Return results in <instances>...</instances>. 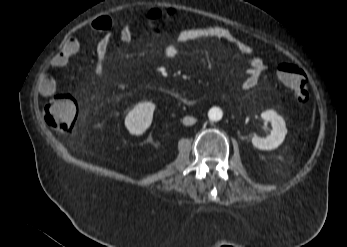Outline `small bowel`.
Segmentation results:
<instances>
[{"label":"small bowel","instance_id":"small-bowel-1","mask_svg":"<svg viewBox=\"0 0 347 247\" xmlns=\"http://www.w3.org/2000/svg\"><path fill=\"white\" fill-rule=\"evenodd\" d=\"M113 21L108 16H102L94 19L90 23L91 29L95 31H108L111 29ZM132 30L126 26L120 34V41L123 44L131 42ZM221 40L232 45L236 52L249 64L250 72H246V78L241 83V89L246 91L253 89L259 79V74L265 70V61L253 53L252 47L234 31L218 25H198L186 28L180 31L173 43L168 44L163 50V56L166 60H174L179 54V47L189 42L204 40ZM81 45L76 37L68 38L62 45L60 51L56 53L49 61L50 69H60L68 64L70 59L77 55ZM108 39L98 41L95 47L96 65L95 73L97 76L104 74L103 60L107 53ZM37 88L44 96H51L56 92L57 83L54 77L44 72L37 78Z\"/></svg>","mask_w":347,"mask_h":247}]
</instances>
